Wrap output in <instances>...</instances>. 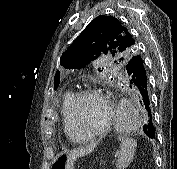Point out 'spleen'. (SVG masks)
Segmentation results:
<instances>
[{
  "label": "spleen",
  "mask_w": 177,
  "mask_h": 169,
  "mask_svg": "<svg viewBox=\"0 0 177 169\" xmlns=\"http://www.w3.org/2000/svg\"><path fill=\"white\" fill-rule=\"evenodd\" d=\"M120 141V150L118 152L117 169H126L132 162L135 154L137 142L129 137H118Z\"/></svg>",
  "instance_id": "spleen-1"
}]
</instances>
